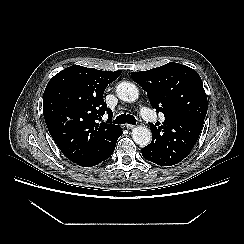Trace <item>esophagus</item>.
Wrapping results in <instances>:
<instances>
[{"instance_id":"obj_1","label":"esophagus","mask_w":244,"mask_h":244,"mask_svg":"<svg viewBox=\"0 0 244 244\" xmlns=\"http://www.w3.org/2000/svg\"><path fill=\"white\" fill-rule=\"evenodd\" d=\"M135 127V125H132V124H126V128L128 129H133Z\"/></svg>"}]
</instances>
